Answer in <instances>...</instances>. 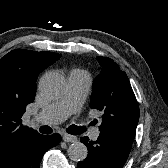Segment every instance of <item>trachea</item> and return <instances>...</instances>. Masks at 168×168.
Wrapping results in <instances>:
<instances>
[{"instance_id":"trachea-1","label":"trachea","mask_w":168,"mask_h":168,"mask_svg":"<svg viewBox=\"0 0 168 168\" xmlns=\"http://www.w3.org/2000/svg\"><path fill=\"white\" fill-rule=\"evenodd\" d=\"M39 131L43 134H51L52 129L49 126H41L39 128ZM67 133L72 134V135H80L83 132L86 131L85 126H76V125H71L66 129Z\"/></svg>"}]
</instances>
